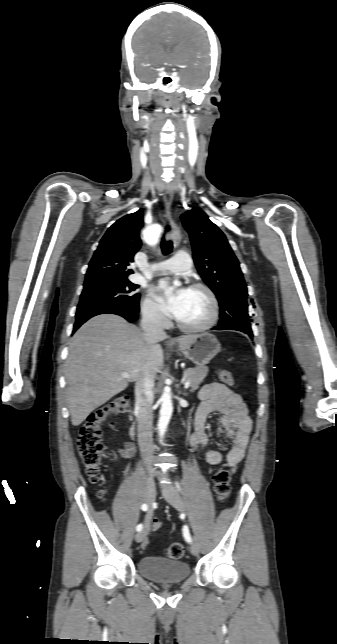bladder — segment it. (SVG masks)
Returning a JSON list of instances; mask_svg holds the SVG:
<instances>
[{"instance_id":"obj_1","label":"bladder","mask_w":337,"mask_h":644,"mask_svg":"<svg viewBox=\"0 0 337 644\" xmlns=\"http://www.w3.org/2000/svg\"><path fill=\"white\" fill-rule=\"evenodd\" d=\"M138 570L145 578L161 584L180 583L190 575L186 562L158 556L142 557L138 561Z\"/></svg>"}]
</instances>
